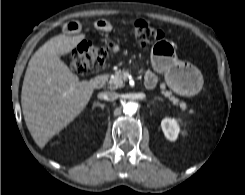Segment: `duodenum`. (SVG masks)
I'll use <instances>...</instances> for the list:
<instances>
[{
  "label": "duodenum",
  "instance_id": "obj_1",
  "mask_svg": "<svg viewBox=\"0 0 245 195\" xmlns=\"http://www.w3.org/2000/svg\"><path fill=\"white\" fill-rule=\"evenodd\" d=\"M106 79H107L106 75L100 74V75H97V76H95L94 78H92V79L90 80V84H91L94 88H100V87H102V86L105 84ZM153 86H154V85L149 86V87H153Z\"/></svg>",
  "mask_w": 245,
  "mask_h": 195
}]
</instances>
